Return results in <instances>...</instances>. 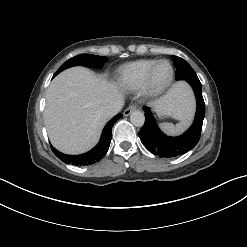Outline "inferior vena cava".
<instances>
[{"mask_svg":"<svg viewBox=\"0 0 247 247\" xmlns=\"http://www.w3.org/2000/svg\"><path fill=\"white\" fill-rule=\"evenodd\" d=\"M123 101L118 100L107 106L104 110V116L107 118L113 117L117 113H119L123 107Z\"/></svg>","mask_w":247,"mask_h":247,"instance_id":"602c4592","label":"inferior vena cava"}]
</instances>
